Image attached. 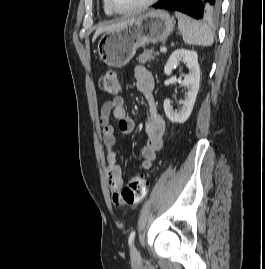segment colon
<instances>
[{
    "label": "colon",
    "instance_id": "colon-1",
    "mask_svg": "<svg viewBox=\"0 0 265 269\" xmlns=\"http://www.w3.org/2000/svg\"><path fill=\"white\" fill-rule=\"evenodd\" d=\"M102 92L116 96L120 93V78L116 70H108L99 81ZM147 181L143 177H133L122 188L119 193L118 201L121 205H135L146 195Z\"/></svg>",
    "mask_w": 265,
    "mask_h": 269
}]
</instances>
